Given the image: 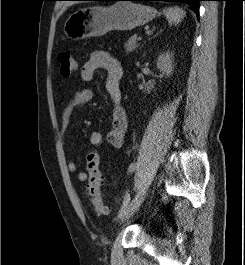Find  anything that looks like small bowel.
<instances>
[{"instance_id": "1", "label": "small bowel", "mask_w": 245, "mask_h": 265, "mask_svg": "<svg viewBox=\"0 0 245 265\" xmlns=\"http://www.w3.org/2000/svg\"><path fill=\"white\" fill-rule=\"evenodd\" d=\"M99 69L106 71L105 86L113 102L114 109L111 128L106 136L99 131H93L90 135V143L94 147H99L106 141L111 146L120 148L124 144L128 127L127 114L121 105L120 82L123 76V68L121 64L107 52L95 51L83 65L80 73L81 79L86 82L91 81L95 72ZM93 97L94 91L91 87H80L74 91L72 98L63 108L61 114L60 137L62 140H64L72 115L90 102ZM67 169L71 173L77 172L78 165L76 161H68ZM77 179L81 182H85L88 179V175L84 171H79L77 172Z\"/></svg>"}]
</instances>
